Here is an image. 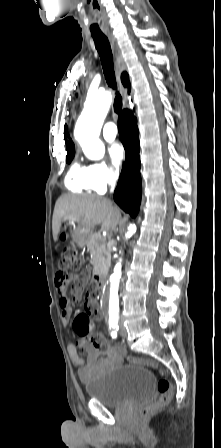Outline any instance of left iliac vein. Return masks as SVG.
<instances>
[{"instance_id":"obj_1","label":"left iliac vein","mask_w":221,"mask_h":448,"mask_svg":"<svg viewBox=\"0 0 221 448\" xmlns=\"http://www.w3.org/2000/svg\"><path fill=\"white\" fill-rule=\"evenodd\" d=\"M119 326H120V335H121L123 338H125L126 335H127V333H126V329H125V327L123 326L122 322H120Z\"/></svg>"}]
</instances>
